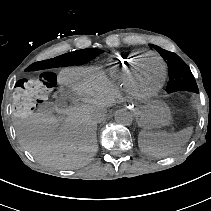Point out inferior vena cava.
<instances>
[{"label":"inferior vena cava","mask_w":211,"mask_h":211,"mask_svg":"<svg viewBox=\"0 0 211 211\" xmlns=\"http://www.w3.org/2000/svg\"><path fill=\"white\" fill-rule=\"evenodd\" d=\"M96 117H97V121H100L102 119V113H98Z\"/></svg>","instance_id":"obj_1"}]
</instances>
